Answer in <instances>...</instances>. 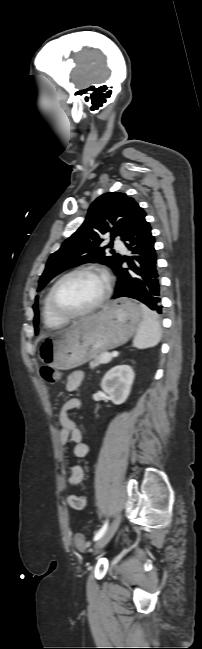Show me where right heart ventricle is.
Listing matches in <instances>:
<instances>
[{"instance_id": "1", "label": "right heart ventricle", "mask_w": 202, "mask_h": 649, "mask_svg": "<svg viewBox=\"0 0 202 649\" xmlns=\"http://www.w3.org/2000/svg\"><path fill=\"white\" fill-rule=\"evenodd\" d=\"M42 320L44 325L47 328L50 329H55L63 326L66 324L67 319L60 318L51 309L50 303H49V291L44 297L43 303H42Z\"/></svg>"}]
</instances>
